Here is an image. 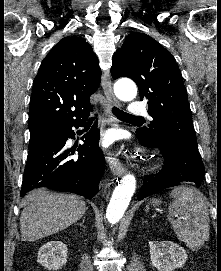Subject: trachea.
I'll list each match as a JSON object with an SVG mask.
<instances>
[{"label": "trachea", "mask_w": 221, "mask_h": 271, "mask_svg": "<svg viewBox=\"0 0 221 271\" xmlns=\"http://www.w3.org/2000/svg\"><path fill=\"white\" fill-rule=\"evenodd\" d=\"M112 112L118 119L122 121L142 118L140 116L130 115V113H126V111L119 110V108H116L115 106L112 108ZM93 119H95V117L89 118L90 121H92Z\"/></svg>", "instance_id": "trachea-1"}]
</instances>
